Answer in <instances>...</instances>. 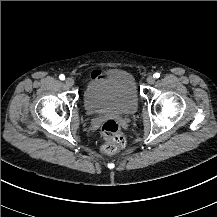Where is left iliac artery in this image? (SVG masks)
Segmentation results:
<instances>
[{
  "instance_id": "44dca946",
  "label": "left iliac artery",
  "mask_w": 217,
  "mask_h": 217,
  "mask_svg": "<svg viewBox=\"0 0 217 217\" xmlns=\"http://www.w3.org/2000/svg\"><path fill=\"white\" fill-rule=\"evenodd\" d=\"M153 76H154L155 78H159V77H160V73H155Z\"/></svg>"
}]
</instances>
